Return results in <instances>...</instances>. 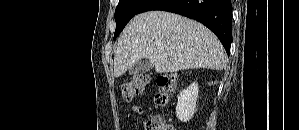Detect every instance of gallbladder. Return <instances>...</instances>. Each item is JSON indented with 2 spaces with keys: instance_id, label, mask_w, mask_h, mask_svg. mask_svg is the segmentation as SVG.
I'll use <instances>...</instances> for the list:
<instances>
[{
  "instance_id": "1",
  "label": "gallbladder",
  "mask_w": 299,
  "mask_h": 130,
  "mask_svg": "<svg viewBox=\"0 0 299 130\" xmlns=\"http://www.w3.org/2000/svg\"><path fill=\"white\" fill-rule=\"evenodd\" d=\"M153 68V64L148 59H141L136 61L130 68V75H139L150 71Z\"/></svg>"
}]
</instances>
